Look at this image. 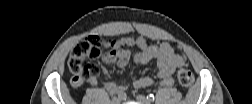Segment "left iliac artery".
<instances>
[{"mask_svg":"<svg viewBox=\"0 0 252 104\" xmlns=\"http://www.w3.org/2000/svg\"><path fill=\"white\" fill-rule=\"evenodd\" d=\"M147 100H148V102H153L155 100L154 95L153 94L148 95Z\"/></svg>","mask_w":252,"mask_h":104,"instance_id":"left-iliac-artery-1","label":"left iliac artery"}]
</instances>
